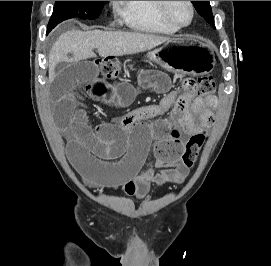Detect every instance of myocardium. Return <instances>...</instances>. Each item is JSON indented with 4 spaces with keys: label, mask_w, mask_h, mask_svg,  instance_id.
I'll list each match as a JSON object with an SVG mask.
<instances>
[{
    "label": "myocardium",
    "mask_w": 271,
    "mask_h": 266,
    "mask_svg": "<svg viewBox=\"0 0 271 266\" xmlns=\"http://www.w3.org/2000/svg\"><path fill=\"white\" fill-rule=\"evenodd\" d=\"M161 4H160V9H161V13L163 15V17L172 25L174 26L175 28L177 29H182V28H186L188 26H190L192 24V22L194 21V18H195V14H196V9H195V6H194V3L192 1H186L187 4L189 5L190 7V10H191V17H190V20L188 23L186 24H179L178 22H176L170 12H169V5L171 3V1H160Z\"/></svg>",
    "instance_id": "f54148a6"
}]
</instances>
